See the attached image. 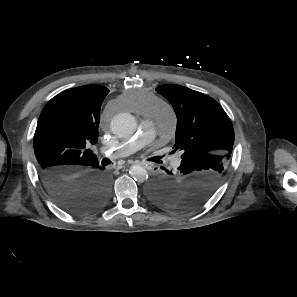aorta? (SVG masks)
Returning a JSON list of instances; mask_svg holds the SVG:
<instances>
[{"mask_svg":"<svg viewBox=\"0 0 297 297\" xmlns=\"http://www.w3.org/2000/svg\"><path fill=\"white\" fill-rule=\"evenodd\" d=\"M136 121L134 117L128 113H120L111 121L112 132L121 138L131 136L136 130ZM131 176L138 182L143 183L147 180L148 174L144 167L133 165L130 168Z\"/></svg>","mask_w":297,"mask_h":297,"instance_id":"762f6f07","label":"aorta"}]
</instances>
